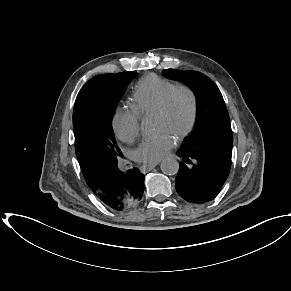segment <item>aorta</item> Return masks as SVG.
Listing matches in <instances>:
<instances>
[{
  "mask_svg": "<svg viewBox=\"0 0 291 291\" xmlns=\"http://www.w3.org/2000/svg\"><path fill=\"white\" fill-rule=\"evenodd\" d=\"M142 130L147 132L149 128L147 125L142 124ZM160 168L166 175H175L179 170V163L174 158H166L161 162Z\"/></svg>",
  "mask_w": 291,
  "mask_h": 291,
  "instance_id": "762f6f07",
  "label": "aorta"
}]
</instances>
